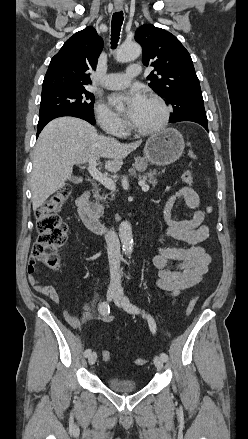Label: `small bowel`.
<instances>
[{
    "mask_svg": "<svg viewBox=\"0 0 248 439\" xmlns=\"http://www.w3.org/2000/svg\"><path fill=\"white\" fill-rule=\"evenodd\" d=\"M178 198H183L187 206L192 209H196L200 205L198 194L190 187H182L173 193L163 207V218L167 227L159 236L158 243L160 244L165 237H171L191 246L187 248L159 246L157 254L152 259L153 266L157 270L156 285L174 298L200 283L209 271L212 261L205 247L200 245L208 239L210 233L209 227L204 224L205 212L197 210L189 219H174L171 210ZM36 264L37 259L31 256L27 267L29 283L36 292L49 298L55 304H60V297L56 289L51 285H43L37 279L35 275ZM95 289L96 283L93 285L91 302L83 304L85 312L82 316L73 315L67 309L63 310V316L71 326L78 327L87 319L97 316ZM103 320L111 321L112 316L107 315Z\"/></svg>",
    "mask_w": 248,
    "mask_h": 439,
    "instance_id": "1",
    "label": "small bowel"
}]
</instances>
